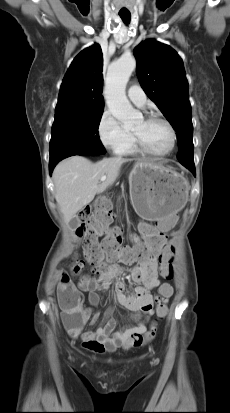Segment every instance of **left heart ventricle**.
<instances>
[{"label": "left heart ventricle", "instance_id": "1", "mask_svg": "<svg viewBox=\"0 0 230 413\" xmlns=\"http://www.w3.org/2000/svg\"><path fill=\"white\" fill-rule=\"evenodd\" d=\"M133 132L152 149L163 151L170 144V133L164 123L158 120H140L133 128Z\"/></svg>", "mask_w": 230, "mask_h": 413}]
</instances>
